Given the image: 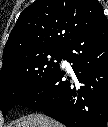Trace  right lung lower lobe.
<instances>
[{
	"label": "right lung lower lobe",
	"mask_w": 108,
	"mask_h": 127,
	"mask_svg": "<svg viewBox=\"0 0 108 127\" xmlns=\"http://www.w3.org/2000/svg\"><path fill=\"white\" fill-rule=\"evenodd\" d=\"M74 76L60 66L18 105L43 110L67 127H105L108 122V21L105 18L64 50Z\"/></svg>",
	"instance_id": "1"
}]
</instances>
